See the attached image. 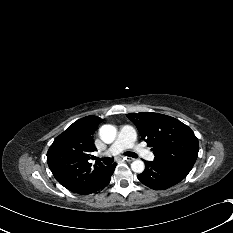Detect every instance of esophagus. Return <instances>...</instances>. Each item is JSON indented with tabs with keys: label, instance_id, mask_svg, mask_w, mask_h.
Listing matches in <instances>:
<instances>
[{
	"label": "esophagus",
	"instance_id": "esophagus-1",
	"mask_svg": "<svg viewBox=\"0 0 233 233\" xmlns=\"http://www.w3.org/2000/svg\"><path fill=\"white\" fill-rule=\"evenodd\" d=\"M124 160L128 161V162H132L134 161V158L131 157H124Z\"/></svg>",
	"mask_w": 233,
	"mask_h": 233
}]
</instances>
